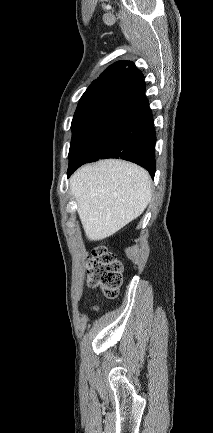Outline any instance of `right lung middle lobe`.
<instances>
[{
	"mask_svg": "<svg viewBox=\"0 0 213 433\" xmlns=\"http://www.w3.org/2000/svg\"><path fill=\"white\" fill-rule=\"evenodd\" d=\"M116 96L117 95L115 94H104V95L93 96L86 99H81L79 101V104L77 106L71 124V128H72L71 146L78 139V137L84 132L89 122L105 106H107Z\"/></svg>",
	"mask_w": 213,
	"mask_h": 433,
	"instance_id": "right-lung-middle-lobe-1",
	"label": "right lung middle lobe"
}]
</instances>
